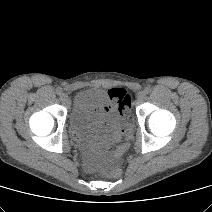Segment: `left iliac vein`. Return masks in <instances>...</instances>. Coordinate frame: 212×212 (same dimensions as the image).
I'll return each mask as SVG.
<instances>
[{
	"instance_id": "4c4485c4",
	"label": "left iliac vein",
	"mask_w": 212,
	"mask_h": 212,
	"mask_svg": "<svg viewBox=\"0 0 212 212\" xmlns=\"http://www.w3.org/2000/svg\"><path fill=\"white\" fill-rule=\"evenodd\" d=\"M145 95H146L145 91H139L137 93V101L142 102L143 99L145 98Z\"/></svg>"
}]
</instances>
